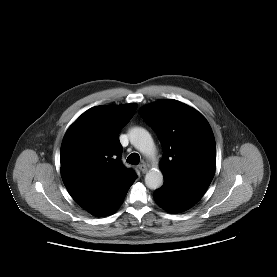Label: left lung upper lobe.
Segmentation results:
<instances>
[{"label": "left lung upper lobe", "instance_id": "5c2ea615", "mask_svg": "<svg viewBox=\"0 0 277 277\" xmlns=\"http://www.w3.org/2000/svg\"><path fill=\"white\" fill-rule=\"evenodd\" d=\"M163 148L164 183L206 190L216 165V144L206 119L176 100H160L140 109Z\"/></svg>", "mask_w": 277, "mask_h": 277}]
</instances>
